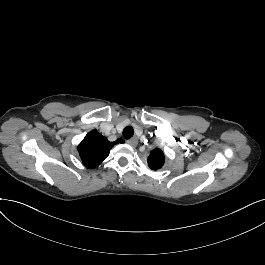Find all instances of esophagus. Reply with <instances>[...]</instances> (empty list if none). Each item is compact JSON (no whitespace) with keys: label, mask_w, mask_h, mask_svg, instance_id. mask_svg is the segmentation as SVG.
Instances as JSON below:
<instances>
[{"label":"esophagus","mask_w":265,"mask_h":265,"mask_svg":"<svg viewBox=\"0 0 265 265\" xmlns=\"http://www.w3.org/2000/svg\"><path fill=\"white\" fill-rule=\"evenodd\" d=\"M127 142H128V144H130L131 146L136 147L137 144H138V142H139V140H138L137 137H132V138L128 139Z\"/></svg>","instance_id":"esophagus-1"}]
</instances>
